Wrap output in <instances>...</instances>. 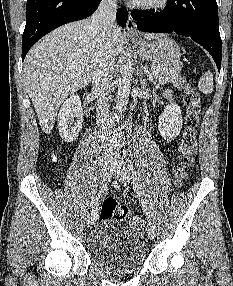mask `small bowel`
Instances as JSON below:
<instances>
[{
    "label": "small bowel",
    "mask_w": 233,
    "mask_h": 286,
    "mask_svg": "<svg viewBox=\"0 0 233 286\" xmlns=\"http://www.w3.org/2000/svg\"><path fill=\"white\" fill-rule=\"evenodd\" d=\"M165 96H166L167 98H169V97H171V93H170L169 91H167V92L165 93Z\"/></svg>",
    "instance_id": "obj_1"
}]
</instances>
